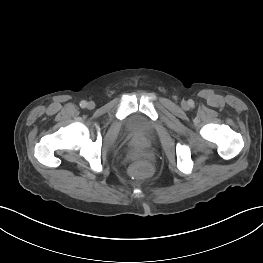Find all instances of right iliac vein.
I'll list each match as a JSON object with an SVG mask.
<instances>
[{
    "label": "right iliac vein",
    "instance_id": "right-iliac-vein-1",
    "mask_svg": "<svg viewBox=\"0 0 263 263\" xmlns=\"http://www.w3.org/2000/svg\"><path fill=\"white\" fill-rule=\"evenodd\" d=\"M95 107V103L90 101L88 104H87V108L88 109H93Z\"/></svg>",
    "mask_w": 263,
    "mask_h": 263
}]
</instances>
